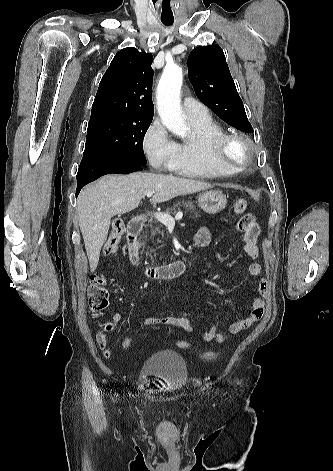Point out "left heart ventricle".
Masks as SVG:
<instances>
[{"instance_id":"left-heart-ventricle-1","label":"left heart ventricle","mask_w":333,"mask_h":471,"mask_svg":"<svg viewBox=\"0 0 333 471\" xmlns=\"http://www.w3.org/2000/svg\"><path fill=\"white\" fill-rule=\"evenodd\" d=\"M232 154H233V156H235V157H240L241 152H240L239 149L234 148Z\"/></svg>"}]
</instances>
